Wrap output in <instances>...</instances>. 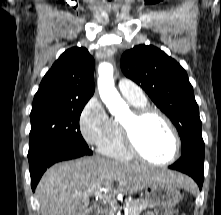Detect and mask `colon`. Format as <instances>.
I'll use <instances>...</instances> for the list:
<instances>
[{"label": "colon", "instance_id": "obj_1", "mask_svg": "<svg viewBox=\"0 0 221 215\" xmlns=\"http://www.w3.org/2000/svg\"><path fill=\"white\" fill-rule=\"evenodd\" d=\"M157 215H180L175 209L160 210Z\"/></svg>", "mask_w": 221, "mask_h": 215}]
</instances>
